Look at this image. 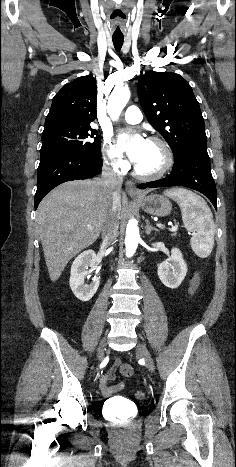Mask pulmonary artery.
<instances>
[{"instance_id":"obj_1","label":"pulmonary artery","mask_w":236,"mask_h":467,"mask_svg":"<svg viewBox=\"0 0 236 467\" xmlns=\"http://www.w3.org/2000/svg\"><path fill=\"white\" fill-rule=\"evenodd\" d=\"M123 118L127 123L136 124L142 120V113L137 106L132 105L126 109Z\"/></svg>"}]
</instances>
